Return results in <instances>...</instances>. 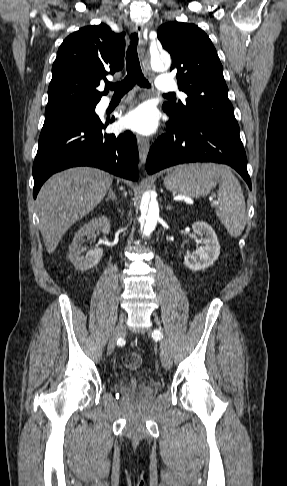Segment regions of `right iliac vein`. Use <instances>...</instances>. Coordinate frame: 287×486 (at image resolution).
<instances>
[{
    "label": "right iliac vein",
    "instance_id": "63e3f726",
    "mask_svg": "<svg viewBox=\"0 0 287 486\" xmlns=\"http://www.w3.org/2000/svg\"><path fill=\"white\" fill-rule=\"evenodd\" d=\"M124 330H125V315L122 313V314H120L119 322H118L117 326L115 327V329H114V331L111 335V338L109 340V344H108V354L109 355L114 351L115 346H116V342L123 335Z\"/></svg>",
    "mask_w": 287,
    "mask_h": 486
}]
</instances>
